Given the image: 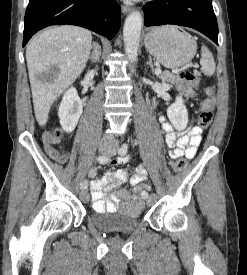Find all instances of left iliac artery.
Instances as JSON below:
<instances>
[{"instance_id":"left-iliac-artery-1","label":"left iliac artery","mask_w":247,"mask_h":275,"mask_svg":"<svg viewBox=\"0 0 247 275\" xmlns=\"http://www.w3.org/2000/svg\"><path fill=\"white\" fill-rule=\"evenodd\" d=\"M127 151H128V145L124 143L122 147L118 150V153L123 156L127 153ZM148 196L149 195L146 191L142 192V198L146 199L148 198Z\"/></svg>"}]
</instances>
